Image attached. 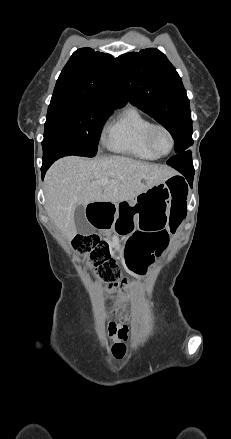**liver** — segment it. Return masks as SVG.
Masks as SVG:
<instances>
[{
    "label": "liver",
    "mask_w": 231,
    "mask_h": 439,
    "mask_svg": "<svg viewBox=\"0 0 231 439\" xmlns=\"http://www.w3.org/2000/svg\"><path fill=\"white\" fill-rule=\"evenodd\" d=\"M176 174L166 165L121 156L94 160L64 157L46 173L45 209L57 228L72 239L77 234L74 214L79 205L132 200ZM103 178L110 179L106 185L99 183Z\"/></svg>",
    "instance_id": "1"
}]
</instances>
